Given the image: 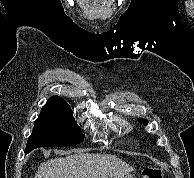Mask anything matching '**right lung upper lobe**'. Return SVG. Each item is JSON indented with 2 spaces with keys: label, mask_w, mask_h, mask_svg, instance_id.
<instances>
[{
  "label": "right lung upper lobe",
  "mask_w": 194,
  "mask_h": 178,
  "mask_svg": "<svg viewBox=\"0 0 194 178\" xmlns=\"http://www.w3.org/2000/svg\"><path fill=\"white\" fill-rule=\"evenodd\" d=\"M44 107L58 109L61 111L72 113L70 106L66 103V101H64V99H62L59 96H52L51 98H49V100L47 101Z\"/></svg>",
  "instance_id": "right-lung-upper-lobe-1"
}]
</instances>
